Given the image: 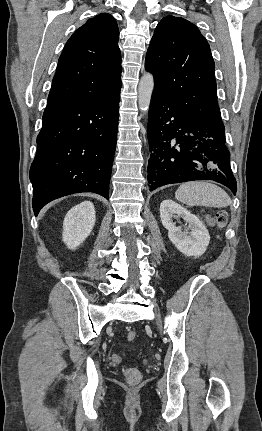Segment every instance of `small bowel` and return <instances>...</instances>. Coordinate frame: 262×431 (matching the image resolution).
Segmentation results:
<instances>
[{
    "label": "small bowel",
    "instance_id": "c3829d8e",
    "mask_svg": "<svg viewBox=\"0 0 262 431\" xmlns=\"http://www.w3.org/2000/svg\"><path fill=\"white\" fill-rule=\"evenodd\" d=\"M113 360L117 362V361H119V357L117 355H114Z\"/></svg>",
    "mask_w": 262,
    "mask_h": 431
}]
</instances>
